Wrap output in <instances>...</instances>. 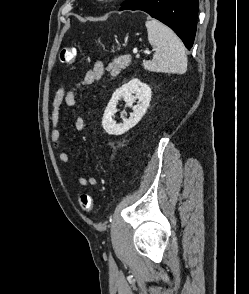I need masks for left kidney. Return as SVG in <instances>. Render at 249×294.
<instances>
[{
  "label": "left kidney",
  "instance_id": "5707ae66",
  "mask_svg": "<svg viewBox=\"0 0 249 294\" xmlns=\"http://www.w3.org/2000/svg\"><path fill=\"white\" fill-rule=\"evenodd\" d=\"M151 95V88L137 78L131 79L128 83L118 88L113 93L102 118V126L105 132L109 135H121L134 127L146 113L151 101ZM120 99H124L126 105L132 107L133 114L128 119L122 117L123 123L116 124L113 116L117 112L116 106ZM136 99H138V102L133 106Z\"/></svg>",
  "mask_w": 249,
  "mask_h": 294
}]
</instances>
